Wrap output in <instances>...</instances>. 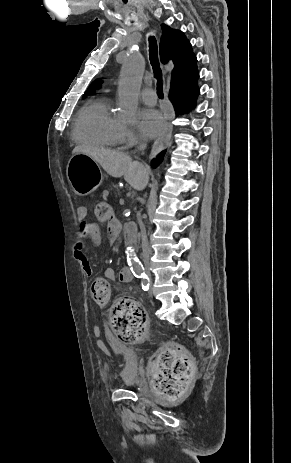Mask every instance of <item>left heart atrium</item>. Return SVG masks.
<instances>
[{
	"instance_id": "left-heart-atrium-1",
	"label": "left heart atrium",
	"mask_w": 291,
	"mask_h": 463,
	"mask_svg": "<svg viewBox=\"0 0 291 463\" xmlns=\"http://www.w3.org/2000/svg\"><path fill=\"white\" fill-rule=\"evenodd\" d=\"M138 125L142 135L146 138L161 134L165 128L161 114L154 109H144L139 113Z\"/></svg>"
}]
</instances>
